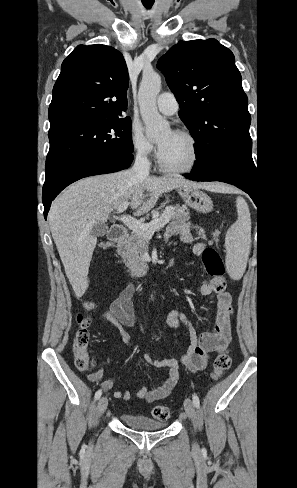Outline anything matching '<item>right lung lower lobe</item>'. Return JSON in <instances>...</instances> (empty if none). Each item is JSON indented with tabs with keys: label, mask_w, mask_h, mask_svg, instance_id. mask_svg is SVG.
Returning <instances> with one entry per match:
<instances>
[{
	"label": "right lung lower lobe",
	"mask_w": 297,
	"mask_h": 488,
	"mask_svg": "<svg viewBox=\"0 0 297 488\" xmlns=\"http://www.w3.org/2000/svg\"><path fill=\"white\" fill-rule=\"evenodd\" d=\"M132 161V154L95 157L75 163L51 179L45 180L42 195L45 219L47 218L51 202L69 184L84 177L126 169L131 165Z\"/></svg>",
	"instance_id": "right-lung-lower-lobe-1"
}]
</instances>
